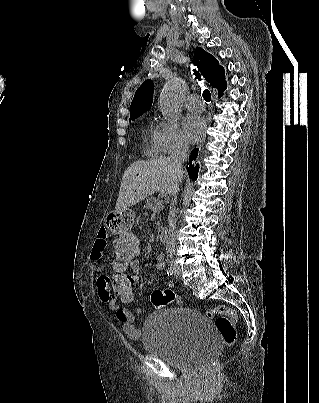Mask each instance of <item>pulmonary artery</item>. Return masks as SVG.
Listing matches in <instances>:
<instances>
[{"label": "pulmonary artery", "instance_id": "pulmonary-artery-1", "mask_svg": "<svg viewBox=\"0 0 319 403\" xmlns=\"http://www.w3.org/2000/svg\"><path fill=\"white\" fill-rule=\"evenodd\" d=\"M186 107L193 111H202L204 109V101L197 94H191L186 99Z\"/></svg>", "mask_w": 319, "mask_h": 403}]
</instances>
